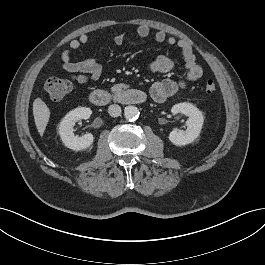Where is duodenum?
Here are the masks:
<instances>
[{
  "mask_svg": "<svg viewBox=\"0 0 265 265\" xmlns=\"http://www.w3.org/2000/svg\"><path fill=\"white\" fill-rule=\"evenodd\" d=\"M90 102L95 106H106L112 102L128 105L142 104L146 101V94L136 88H128L120 92L94 90L90 93Z\"/></svg>",
  "mask_w": 265,
  "mask_h": 265,
  "instance_id": "410a0bca",
  "label": "duodenum"
}]
</instances>
